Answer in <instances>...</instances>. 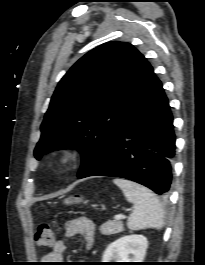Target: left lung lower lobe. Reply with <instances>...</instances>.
<instances>
[{
	"label": "left lung lower lobe",
	"mask_w": 205,
	"mask_h": 265,
	"mask_svg": "<svg viewBox=\"0 0 205 265\" xmlns=\"http://www.w3.org/2000/svg\"><path fill=\"white\" fill-rule=\"evenodd\" d=\"M175 154L173 118L160 80L154 73L95 158L78 174L113 176L166 194Z\"/></svg>",
	"instance_id": "left-lung-lower-lobe-1"
}]
</instances>
